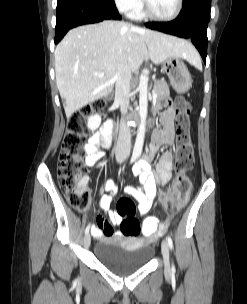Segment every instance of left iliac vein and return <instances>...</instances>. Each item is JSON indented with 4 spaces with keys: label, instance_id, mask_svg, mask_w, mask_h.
Masks as SVG:
<instances>
[{
    "label": "left iliac vein",
    "instance_id": "1",
    "mask_svg": "<svg viewBox=\"0 0 247 304\" xmlns=\"http://www.w3.org/2000/svg\"><path fill=\"white\" fill-rule=\"evenodd\" d=\"M161 250L164 259L165 273L169 274L171 272L170 262H169V245L166 240L162 241Z\"/></svg>",
    "mask_w": 247,
    "mask_h": 304
}]
</instances>
